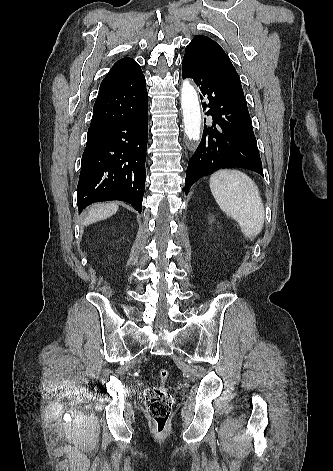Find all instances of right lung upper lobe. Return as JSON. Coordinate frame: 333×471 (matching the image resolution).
Here are the masks:
<instances>
[{
	"instance_id": "1",
	"label": "right lung upper lobe",
	"mask_w": 333,
	"mask_h": 471,
	"mask_svg": "<svg viewBox=\"0 0 333 471\" xmlns=\"http://www.w3.org/2000/svg\"><path fill=\"white\" fill-rule=\"evenodd\" d=\"M141 73L140 66L131 58L124 57L117 61L103 79L99 92L120 88Z\"/></svg>"
}]
</instances>
